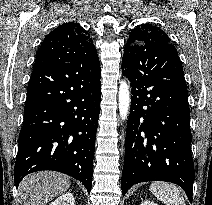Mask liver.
Returning a JSON list of instances; mask_svg holds the SVG:
<instances>
[{"mask_svg":"<svg viewBox=\"0 0 212 205\" xmlns=\"http://www.w3.org/2000/svg\"><path fill=\"white\" fill-rule=\"evenodd\" d=\"M69 187V176L43 171L26 176L19 185L18 194L22 205H46Z\"/></svg>","mask_w":212,"mask_h":205,"instance_id":"6515ba94","label":"liver"}]
</instances>
